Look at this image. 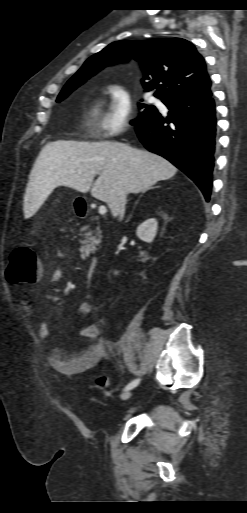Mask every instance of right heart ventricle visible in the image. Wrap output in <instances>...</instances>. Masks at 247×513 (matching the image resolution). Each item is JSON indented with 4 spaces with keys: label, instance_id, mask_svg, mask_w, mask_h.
I'll return each instance as SVG.
<instances>
[{
    "label": "right heart ventricle",
    "instance_id": "1",
    "mask_svg": "<svg viewBox=\"0 0 247 513\" xmlns=\"http://www.w3.org/2000/svg\"><path fill=\"white\" fill-rule=\"evenodd\" d=\"M98 115H99V104L97 101H94L91 104V106L87 112V116H86L87 128L90 131L94 130Z\"/></svg>",
    "mask_w": 247,
    "mask_h": 513
}]
</instances>
